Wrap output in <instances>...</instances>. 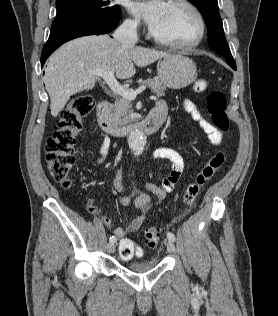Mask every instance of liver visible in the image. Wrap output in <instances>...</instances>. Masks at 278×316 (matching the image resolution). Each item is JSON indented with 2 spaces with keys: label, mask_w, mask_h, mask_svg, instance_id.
<instances>
[{
  "label": "liver",
  "mask_w": 278,
  "mask_h": 316,
  "mask_svg": "<svg viewBox=\"0 0 278 316\" xmlns=\"http://www.w3.org/2000/svg\"><path fill=\"white\" fill-rule=\"evenodd\" d=\"M165 55L144 47L124 46L109 35H89L67 42L49 58L45 69L51 114L56 117L71 96L95 87L94 70L114 71L118 79H128L135 75V65L144 67Z\"/></svg>",
  "instance_id": "1"
}]
</instances>
